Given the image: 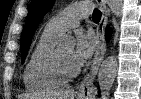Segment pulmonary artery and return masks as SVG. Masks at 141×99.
Instances as JSON below:
<instances>
[{"instance_id": "1", "label": "pulmonary artery", "mask_w": 141, "mask_h": 99, "mask_svg": "<svg viewBox=\"0 0 141 99\" xmlns=\"http://www.w3.org/2000/svg\"><path fill=\"white\" fill-rule=\"evenodd\" d=\"M90 14V6L87 4H78L70 6L50 19L45 25L44 30L55 36H60L70 28L76 27L80 19Z\"/></svg>"}]
</instances>
